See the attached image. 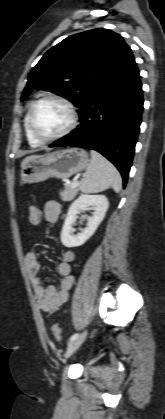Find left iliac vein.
Listing matches in <instances>:
<instances>
[{"mask_svg": "<svg viewBox=\"0 0 165 419\" xmlns=\"http://www.w3.org/2000/svg\"><path fill=\"white\" fill-rule=\"evenodd\" d=\"M87 337V331H84L81 335H79L76 339L72 340L66 349L64 354L65 359L69 358L84 342Z\"/></svg>", "mask_w": 165, "mask_h": 419, "instance_id": "obj_1", "label": "left iliac vein"}]
</instances>
